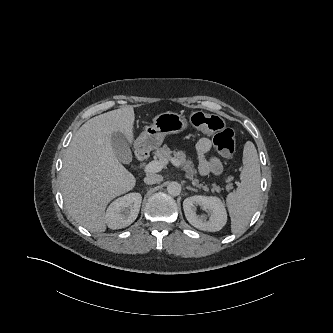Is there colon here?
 I'll return each mask as SVG.
<instances>
[{"mask_svg": "<svg viewBox=\"0 0 333 333\" xmlns=\"http://www.w3.org/2000/svg\"><path fill=\"white\" fill-rule=\"evenodd\" d=\"M191 123L198 130L215 133L213 144L216 150L228 160L234 158L236 148L234 131L226 128L220 117L203 112H195L191 115Z\"/></svg>", "mask_w": 333, "mask_h": 333, "instance_id": "5ec220e1", "label": "colon"}]
</instances>
